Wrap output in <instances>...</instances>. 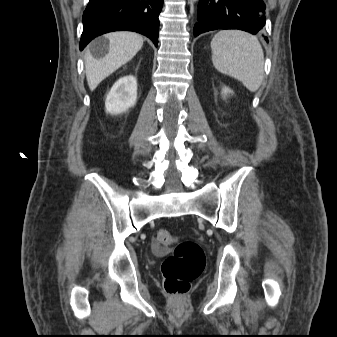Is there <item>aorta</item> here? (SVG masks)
<instances>
[{
    "mask_svg": "<svg viewBox=\"0 0 337 337\" xmlns=\"http://www.w3.org/2000/svg\"><path fill=\"white\" fill-rule=\"evenodd\" d=\"M192 2H196L197 0H191Z\"/></svg>",
    "mask_w": 337,
    "mask_h": 337,
    "instance_id": "obj_1",
    "label": "aorta"
}]
</instances>
